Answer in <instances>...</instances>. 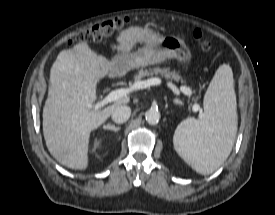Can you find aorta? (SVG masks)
<instances>
[{
	"mask_svg": "<svg viewBox=\"0 0 275 215\" xmlns=\"http://www.w3.org/2000/svg\"><path fill=\"white\" fill-rule=\"evenodd\" d=\"M145 119L148 124L155 125L160 120V112L157 109L151 108L145 113Z\"/></svg>",
	"mask_w": 275,
	"mask_h": 215,
	"instance_id": "aorta-1",
	"label": "aorta"
}]
</instances>
